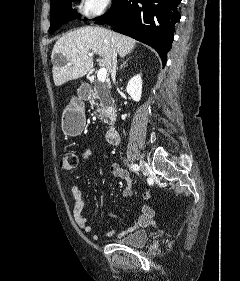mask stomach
I'll return each instance as SVG.
<instances>
[{"label": "stomach", "mask_w": 240, "mask_h": 281, "mask_svg": "<svg viewBox=\"0 0 240 281\" xmlns=\"http://www.w3.org/2000/svg\"><path fill=\"white\" fill-rule=\"evenodd\" d=\"M62 130L66 135H79L85 126L84 107L79 102L69 104L62 114Z\"/></svg>", "instance_id": "obj_1"}]
</instances>
